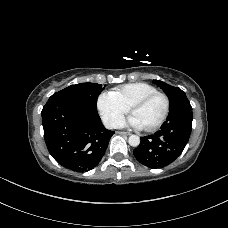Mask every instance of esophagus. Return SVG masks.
<instances>
[{"mask_svg":"<svg viewBox=\"0 0 228 228\" xmlns=\"http://www.w3.org/2000/svg\"><path fill=\"white\" fill-rule=\"evenodd\" d=\"M116 133L119 134V135H125V136H129L130 135L129 132H124V131H117Z\"/></svg>","mask_w":228,"mask_h":228,"instance_id":"obj_1","label":"esophagus"}]
</instances>
